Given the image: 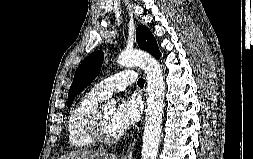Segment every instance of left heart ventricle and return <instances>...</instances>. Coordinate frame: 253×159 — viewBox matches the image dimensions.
Returning <instances> with one entry per match:
<instances>
[{"instance_id": "obj_1", "label": "left heart ventricle", "mask_w": 253, "mask_h": 159, "mask_svg": "<svg viewBox=\"0 0 253 159\" xmlns=\"http://www.w3.org/2000/svg\"><path fill=\"white\" fill-rule=\"evenodd\" d=\"M114 112L115 109L113 107H104L102 108V116L104 120V125L106 131L111 136H117L119 133L117 132L115 125H114Z\"/></svg>"}]
</instances>
